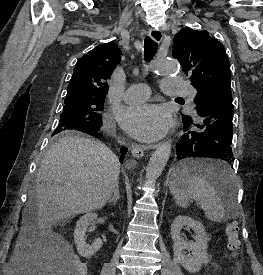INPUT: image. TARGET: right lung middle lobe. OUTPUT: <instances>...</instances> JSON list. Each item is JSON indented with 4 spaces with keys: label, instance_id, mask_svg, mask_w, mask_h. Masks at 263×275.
Instances as JSON below:
<instances>
[{
    "label": "right lung middle lobe",
    "instance_id": "right-lung-middle-lobe-1",
    "mask_svg": "<svg viewBox=\"0 0 263 275\" xmlns=\"http://www.w3.org/2000/svg\"><path fill=\"white\" fill-rule=\"evenodd\" d=\"M105 97L78 95L68 97L64 101L63 112L60 115L58 127L53 132V141H58L63 134L72 131H99L101 114Z\"/></svg>",
    "mask_w": 263,
    "mask_h": 275
}]
</instances>
